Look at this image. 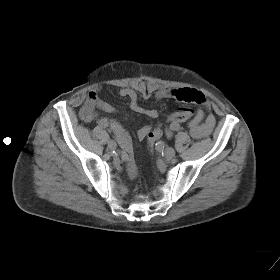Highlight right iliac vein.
Listing matches in <instances>:
<instances>
[{"label":"right iliac vein","mask_w":280,"mask_h":280,"mask_svg":"<svg viewBox=\"0 0 280 280\" xmlns=\"http://www.w3.org/2000/svg\"><path fill=\"white\" fill-rule=\"evenodd\" d=\"M117 147V143L114 140L108 141V148L114 150Z\"/></svg>","instance_id":"obj_1"}]
</instances>
